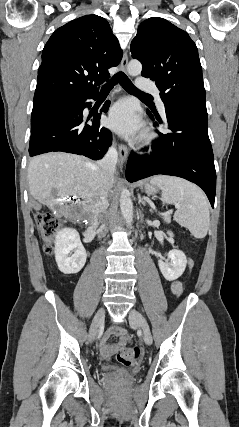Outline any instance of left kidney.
<instances>
[{
    "label": "left kidney",
    "instance_id": "obj_1",
    "mask_svg": "<svg viewBox=\"0 0 239 427\" xmlns=\"http://www.w3.org/2000/svg\"><path fill=\"white\" fill-rule=\"evenodd\" d=\"M168 235L173 237V233L168 231ZM187 259L185 254L178 249L171 250L165 261H158L159 269L168 281L179 278L185 271Z\"/></svg>",
    "mask_w": 239,
    "mask_h": 427
}]
</instances>
